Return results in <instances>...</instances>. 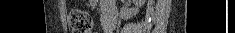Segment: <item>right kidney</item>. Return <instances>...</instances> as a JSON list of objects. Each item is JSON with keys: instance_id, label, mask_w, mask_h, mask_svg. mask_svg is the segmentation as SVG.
<instances>
[{"instance_id": "obj_1", "label": "right kidney", "mask_w": 235, "mask_h": 33, "mask_svg": "<svg viewBox=\"0 0 235 33\" xmlns=\"http://www.w3.org/2000/svg\"><path fill=\"white\" fill-rule=\"evenodd\" d=\"M145 0H133V3L135 4V7L126 9V10H121L120 14L124 18H129L132 17L133 15H136L139 11V7L143 5Z\"/></svg>"}]
</instances>
